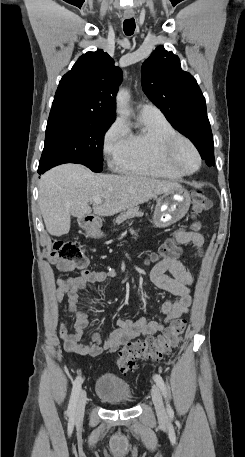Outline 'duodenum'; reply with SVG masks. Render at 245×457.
<instances>
[{"instance_id": "duodenum-1", "label": "duodenum", "mask_w": 245, "mask_h": 457, "mask_svg": "<svg viewBox=\"0 0 245 457\" xmlns=\"http://www.w3.org/2000/svg\"><path fill=\"white\" fill-rule=\"evenodd\" d=\"M94 222V219L89 217L84 220L85 225H91Z\"/></svg>"}]
</instances>
